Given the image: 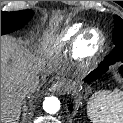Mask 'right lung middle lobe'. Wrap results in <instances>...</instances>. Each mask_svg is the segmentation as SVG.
Masks as SVG:
<instances>
[{
  "label": "right lung middle lobe",
  "instance_id": "1",
  "mask_svg": "<svg viewBox=\"0 0 123 123\" xmlns=\"http://www.w3.org/2000/svg\"><path fill=\"white\" fill-rule=\"evenodd\" d=\"M33 14L32 10L1 11V35L19 30L30 21Z\"/></svg>",
  "mask_w": 123,
  "mask_h": 123
}]
</instances>
